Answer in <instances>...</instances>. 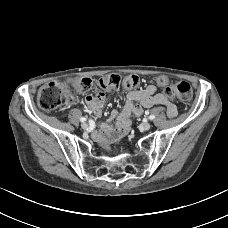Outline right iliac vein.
<instances>
[{
  "label": "right iliac vein",
  "mask_w": 228,
  "mask_h": 228,
  "mask_svg": "<svg viewBox=\"0 0 228 228\" xmlns=\"http://www.w3.org/2000/svg\"><path fill=\"white\" fill-rule=\"evenodd\" d=\"M81 128L84 129V130H86L88 128V125L86 123H82L81 124Z\"/></svg>",
  "instance_id": "63e3f726"
}]
</instances>
